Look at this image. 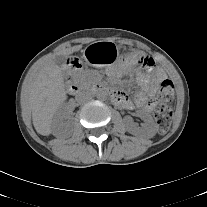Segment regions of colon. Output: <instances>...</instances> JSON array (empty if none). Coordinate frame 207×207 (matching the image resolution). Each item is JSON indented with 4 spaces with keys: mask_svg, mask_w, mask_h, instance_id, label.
<instances>
[{
    "mask_svg": "<svg viewBox=\"0 0 207 207\" xmlns=\"http://www.w3.org/2000/svg\"><path fill=\"white\" fill-rule=\"evenodd\" d=\"M138 65L147 73H154L158 69V62L156 59L146 56H140ZM174 98V85L170 80H164L160 84L157 93L156 101L157 107L155 110V120L159 133H166L171 125L173 113L171 109L165 104Z\"/></svg>",
    "mask_w": 207,
    "mask_h": 207,
    "instance_id": "obj_1",
    "label": "colon"
}]
</instances>
